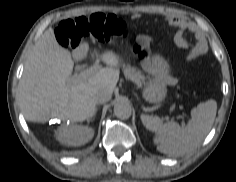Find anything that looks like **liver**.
Listing matches in <instances>:
<instances>
[{
    "label": "liver",
    "mask_w": 236,
    "mask_h": 182,
    "mask_svg": "<svg viewBox=\"0 0 236 182\" xmlns=\"http://www.w3.org/2000/svg\"><path fill=\"white\" fill-rule=\"evenodd\" d=\"M88 46L73 52L77 59L87 57ZM99 59L106 64L87 79L72 76L71 53L56 40L48 28L39 38L25 64L19 83V102L26 120L45 123L50 118L82 122L96 112L95 94L99 89L116 88L120 57L105 51Z\"/></svg>",
    "instance_id": "6515ba94"
}]
</instances>
